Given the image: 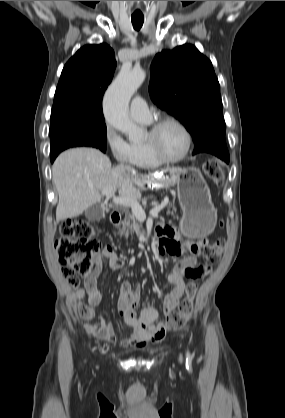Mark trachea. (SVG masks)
Wrapping results in <instances>:
<instances>
[{
  "label": "trachea",
  "instance_id": "trachea-1",
  "mask_svg": "<svg viewBox=\"0 0 285 418\" xmlns=\"http://www.w3.org/2000/svg\"><path fill=\"white\" fill-rule=\"evenodd\" d=\"M134 29L139 30L144 22V17H131Z\"/></svg>",
  "mask_w": 285,
  "mask_h": 418
}]
</instances>
